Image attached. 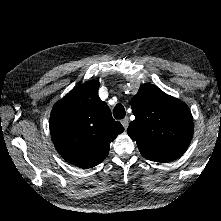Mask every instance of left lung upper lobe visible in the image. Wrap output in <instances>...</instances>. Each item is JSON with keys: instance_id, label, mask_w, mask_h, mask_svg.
<instances>
[{"instance_id": "obj_1", "label": "left lung upper lobe", "mask_w": 221, "mask_h": 221, "mask_svg": "<svg viewBox=\"0 0 221 221\" xmlns=\"http://www.w3.org/2000/svg\"><path fill=\"white\" fill-rule=\"evenodd\" d=\"M131 108L135 120L127 132L144 158L168 162L185 152L192 139L194 124L191 111L184 102L145 83L132 98Z\"/></svg>"}]
</instances>
